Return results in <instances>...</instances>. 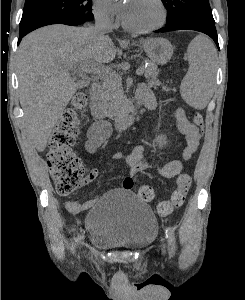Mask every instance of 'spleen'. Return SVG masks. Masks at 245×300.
Returning <instances> with one entry per match:
<instances>
[{
    "instance_id": "1",
    "label": "spleen",
    "mask_w": 245,
    "mask_h": 300,
    "mask_svg": "<svg viewBox=\"0 0 245 300\" xmlns=\"http://www.w3.org/2000/svg\"><path fill=\"white\" fill-rule=\"evenodd\" d=\"M216 58L213 43L204 36L195 37L188 46L190 67L182 80L180 93L183 100L195 109H204L212 97Z\"/></svg>"
}]
</instances>
